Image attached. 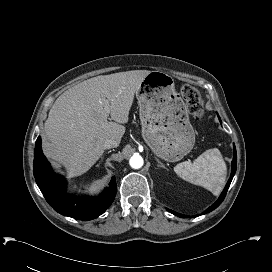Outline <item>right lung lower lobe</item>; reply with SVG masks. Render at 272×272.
Wrapping results in <instances>:
<instances>
[{"label": "right lung lower lobe", "mask_w": 272, "mask_h": 272, "mask_svg": "<svg viewBox=\"0 0 272 272\" xmlns=\"http://www.w3.org/2000/svg\"><path fill=\"white\" fill-rule=\"evenodd\" d=\"M33 167L36 183L46 201L62 215L79 220H92L104 213L115 199L117 187L114 177L109 187L95 201L89 197L68 195L64 178L52 171L50 163L42 153L40 137L36 140Z\"/></svg>", "instance_id": "98d812e1"}]
</instances>
